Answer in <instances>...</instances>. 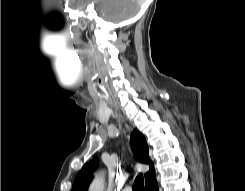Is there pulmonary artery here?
Returning a JSON list of instances; mask_svg holds the SVG:
<instances>
[{
  "mask_svg": "<svg viewBox=\"0 0 245 191\" xmlns=\"http://www.w3.org/2000/svg\"><path fill=\"white\" fill-rule=\"evenodd\" d=\"M123 191H132L130 187H126Z\"/></svg>",
  "mask_w": 245,
  "mask_h": 191,
  "instance_id": "obj_1",
  "label": "pulmonary artery"
}]
</instances>
